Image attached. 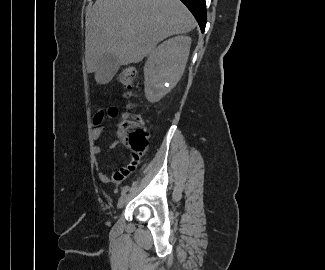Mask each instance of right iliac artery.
<instances>
[{
    "label": "right iliac artery",
    "mask_w": 325,
    "mask_h": 270,
    "mask_svg": "<svg viewBox=\"0 0 325 270\" xmlns=\"http://www.w3.org/2000/svg\"><path fill=\"white\" fill-rule=\"evenodd\" d=\"M129 186H124L123 188H122V193H126L128 190H129Z\"/></svg>",
    "instance_id": "right-iliac-artery-1"
}]
</instances>
